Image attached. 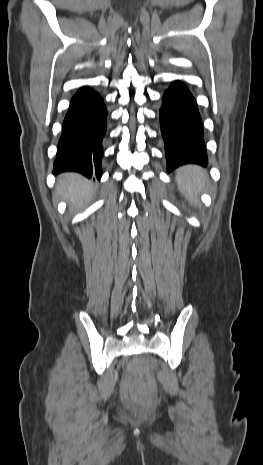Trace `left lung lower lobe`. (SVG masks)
Returning <instances> with one entry per match:
<instances>
[{
  "mask_svg": "<svg viewBox=\"0 0 263 465\" xmlns=\"http://www.w3.org/2000/svg\"><path fill=\"white\" fill-rule=\"evenodd\" d=\"M160 128L169 171L187 163L207 164L203 124L197 104L180 81L165 91L160 109Z\"/></svg>",
  "mask_w": 263,
  "mask_h": 465,
  "instance_id": "left-lung-lower-lobe-1",
  "label": "left lung lower lobe"
}]
</instances>
